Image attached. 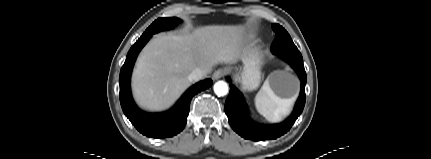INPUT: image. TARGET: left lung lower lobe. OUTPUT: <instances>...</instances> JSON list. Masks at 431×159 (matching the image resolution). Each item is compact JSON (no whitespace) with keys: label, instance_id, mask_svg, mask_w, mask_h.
Segmentation results:
<instances>
[{"label":"left lung lower lobe","instance_id":"1","mask_svg":"<svg viewBox=\"0 0 431 159\" xmlns=\"http://www.w3.org/2000/svg\"><path fill=\"white\" fill-rule=\"evenodd\" d=\"M284 59L297 72L301 81L300 96L296 102L293 113L284 122L274 125H259L248 117L247 106L242 94L234 85L230 84V93L225 103V112L232 129L245 139L263 141L276 139L287 133L305 105L306 72L301 54L280 53ZM228 81L230 79L228 78Z\"/></svg>","mask_w":431,"mask_h":159}]
</instances>
